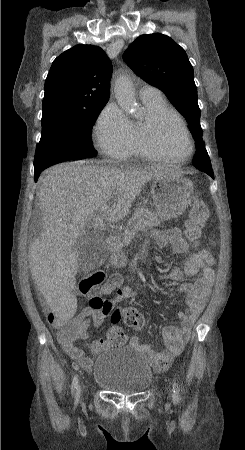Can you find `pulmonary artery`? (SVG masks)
Listing matches in <instances>:
<instances>
[{"instance_id":"1","label":"pulmonary artery","mask_w":245,"mask_h":450,"mask_svg":"<svg viewBox=\"0 0 245 450\" xmlns=\"http://www.w3.org/2000/svg\"><path fill=\"white\" fill-rule=\"evenodd\" d=\"M139 96L140 99L145 100L149 98L160 97L162 96V93L154 86L145 84L139 89Z\"/></svg>"}]
</instances>
